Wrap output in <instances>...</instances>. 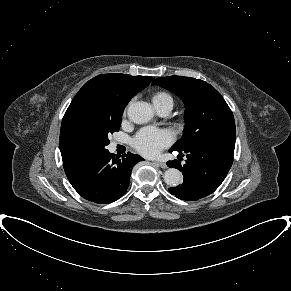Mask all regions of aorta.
I'll list each match as a JSON object with an SVG mask.
<instances>
[{"mask_svg":"<svg viewBox=\"0 0 291 291\" xmlns=\"http://www.w3.org/2000/svg\"><path fill=\"white\" fill-rule=\"evenodd\" d=\"M153 110L146 102H135L129 105L127 110L128 118L136 124H144L153 117ZM164 181L171 187L178 186L183 181L182 173L175 168H169L164 173Z\"/></svg>","mask_w":291,"mask_h":291,"instance_id":"762f6f07","label":"aorta"}]
</instances>
